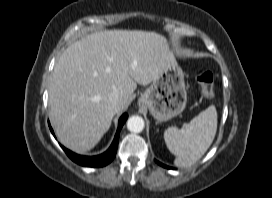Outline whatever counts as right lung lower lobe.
I'll list each match as a JSON object with an SVG mask.
<instances>
[{"label":"right lung lower lobe","mask_w":272,"mask_h":198,"mask_svg":"<svg viewBox=\"0 0 272 198\" xmlns=\"http://www.w3.org/2000/svg\"><path fill=\"white\" fill-rule=\"evenodd\" d=\"M127 118H128V115L126 113L120 117L118 130L115 135L114 141H113L112 145L110 146V148L105 153H103L101 155L93 156V157L81 156V155H77V154L71 152L70 150L66 149L63 146H62V148L65 151V153L68 155V157L79 165L88 166V167L105 166V165L109 164L114 159V157L116 155L118 140H119V133H120V130H121V128ZM49 127H50L52 134L54 135L53 130L50 125H49Z\"/></svg>","instance_id":"1"}]
</instances>
